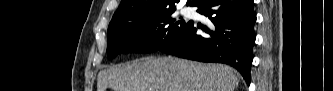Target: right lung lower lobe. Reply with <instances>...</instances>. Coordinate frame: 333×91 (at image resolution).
Masks as SVG:
<instances>
[{"instance_id":"98d812e1","label":"right lung lower lobe","mask_w":333,"mask_h":91,"mask_svg":"<svg viewBox=\"0 0 333 91\" xmlns=\"http://www.w3.org/2000/svg\"><path fill=\"white\" fill-rule=\"evenodd\" d=\"M197 10L211 21L209 27L187 22L182 31L157 51L181 58L225 63L235 67L250 84L256 15L253 0H203ZM201 28L204 35H197Z\"/></svg>"}]
</instances>
